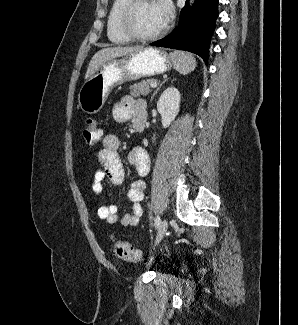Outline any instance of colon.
Returning a JSON list of instances; mask_svg holds the SVG:
<instances>
[{
    "label": "colon",
    "mask_w": 298,
    "mask_h": 325,
    "mask_svg": "<svg viewBox=\"0 0 298 325\" xmlns=\"http://www.w3.org/2000/svg\"><path fill=\"white\" fill-rule=\"evenodd\" d=\"M102 137V129L98 122L92 118L86 120L83 129V139L89 148H94ZM113 254L124 261L136 262L141 259L140 252L130 243L123 240H114L112 244Z\"/></svg>",
    "instance_id": "1"
}]
</instances>
